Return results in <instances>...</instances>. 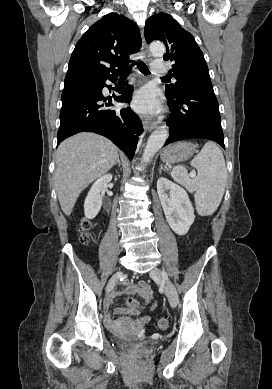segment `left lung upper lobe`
<instances>
[{
  "label": "left lung upper lobe",
  "mask_w": 272,
  "mask_h": 389,
  "mask_svg": "<svg viewBox=\"0 0 272 389\" xmlns=\"http://www.w3.org/2000/svg\"><path fill=\"white\" fill-rule=\"evenodd\" d=\"M145 38L148 43L162 40L166 45L163 59L173 62L175 84L166 86V96L179 95L181 88L211 84L208 66L193 36L169 14L158 13L147 19Z\"/></svg>",
  "instance_id": "5c2ea615"
}]
</instances>
